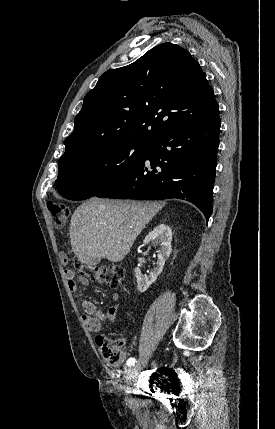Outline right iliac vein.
<instances>
[{
	"label": "right iliac vein",
	"instance_id": "obj_1",
	"mask_svg": "<svg viewBox=\"0 0 275 429\" xmlns=\"http://www.w3.org/2000/svg\"><path fill=\"white\" fill-rule=\"evenodd\" d=\"M147 361H148V358H144L143 360H141L137 364L133 365L128 370L127 378L131 379L134 375H136L137 372L139 371V369L142 368L143 366H145V364L147 363Z\"/></svg>",
	"mask_w": 275,
	"mask_h": 429
}]
</instances>
